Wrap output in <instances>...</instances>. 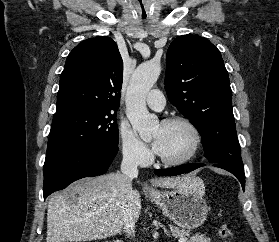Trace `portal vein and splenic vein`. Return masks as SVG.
Instances as JSON below:
<instances>
[{
    "label": "portal vein and splenic vein",
    "instance_id": "1",
    "mask_svg": "<svg viewBox=\"0 0 279 242\" xmlns=\"http://www.w3.org/2000/svg\"><path fill=\"white\" fill-rule=\"evenodd\" d=\"M185 241H187V238H180V239L178 240V242H185Z\"/></svg>",
    "mask_w": 279,
    "mask_h": 242
}]
</instances>
